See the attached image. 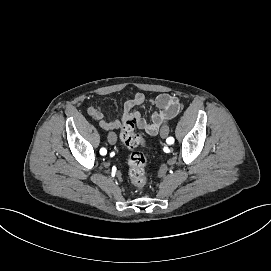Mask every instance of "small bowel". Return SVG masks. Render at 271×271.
Returning a JSON list of instances; mask_svg holds the SVG:
<instances>
[{
    "instance_id": "c3829d8e",
    "label": "small bowel",
    "mask_w": 271,
    "mask_h": 271,
    "mask_svg": "<svg viewBox=\"0 0 271 271\" xmlns=\"http://www.w3.org/2000/svg\"><path fill=\"white\" fill-rule=\"evenodd\" d=\"M149 102L156 107L150 120L145 119L142 114L136 110V107ZM181 109L179 100L169 94H160L155 98L147 99L142 93L135 94L131 99L126 101L123 106L122 115L119 119L107 118L102 111L96 106H90L87 109L88 115L99 122V125L105 131L113 132L123 128L127 121H133L135 125L148 134L155 135L158 133L161 125L172 120Z\"/></svg>"
}]
</instances>
